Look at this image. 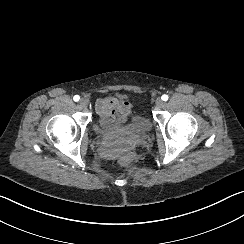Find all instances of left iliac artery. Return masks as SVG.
Returning <instances> with one entry per match:
<instances>
[{
	"instance_id": "44dca946",
	"label": "left iliac artery",
	"mask_w": 244,
	"mask_h": 244,
	"mask_svg": "<svg viewBox=\"0 0 244 244\" xmlns=\"http://www.w3.org/2000/svg\"><path fill=\"white\" fill-rule=\"evenodd\" d=\"M161 99L163 101H167L168 100V95H166V94L162 95Z\"/></svg>"
}]
</instances>
